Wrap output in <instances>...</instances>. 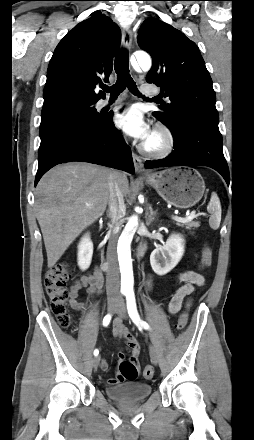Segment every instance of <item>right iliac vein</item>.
<instances>
[{"label":"right iliac vein","instance_id":"1","mask_svg":"<svg viewBox=\"0 0 254 440\" xmlns=\"http://www.w3.org/2000/svg\"><path fill=\"white\" fill-rule=\"evenodd\" d=\"M115 311H116V305H115V303H109V305H108V312H109V313H113V312H115ZM92 362H93V367H94L95 369H97L98 366H99V364H100V356H96V357H94Z\"/></svg>","mask_w":254,"mask_h":440}]
</instances>
